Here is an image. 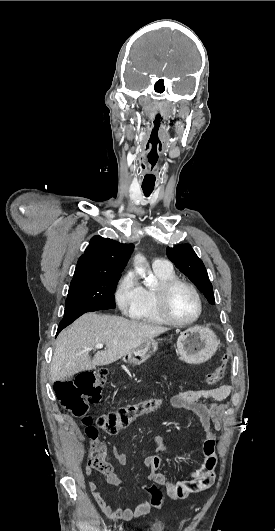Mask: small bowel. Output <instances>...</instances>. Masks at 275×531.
<instances>
[{"label": "small bowel", "mask_w": 275, "mask_h": 531, "mask_svg": "<svg viewBox=\"0 0 275 531\" xmlns=\"http://www.w3.org/2000/svg\"><path fill=\"white\" fill-rule=\"evenodd\" d=\"M232 391L230 385H221L213 389L178 390L170 399V404L176 410H188L196 414L204 429L205 437L201 445L203 460L197 477L193 480H185L178 483L169 481L164 474L159 472V454L170 450L159 434L153 437L155 455L146 456L143 460L144 466L148 470L149 477L158 485L164 486L168 497L172 500H185L193 493H198L208 489L215 480L217 454H216V432L222 427L221 412L223 406L219 403L227 399ZM115 460L125 465L128 456L118 447L112 449ZM86 475L94 473L91 466L84 469ZM107 482L112 486H121L122 481L113 471L107 473ZM89 489L96 503L103 513L112 520H132L142 517L150 512V504L146 501L137 503L134 509L129 507H116L112 505L104 496L95 482H89Z\"/></svg>", "instance_id": "small-bowel-1"}]
</instances>
